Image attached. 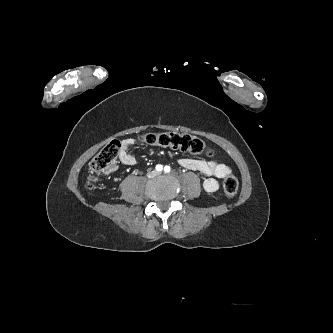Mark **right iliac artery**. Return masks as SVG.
Returning a JSON list of instances; mask_svg holds the SVG:
<instances>
[{
    "label": "right iliac artery",
    "mask_w": 333,
    "mask_h": 333,
    "mask_svg": "<svg viewBox=\"0 0 333 333\" xmlns=\"http://www.w3.org/2000/svg\"><path fill=\"white\" fill-rule=\"evenodd\" d=\"M156 170L161 172L163 170V166L161 164L156 165Z\"/></svg>",
    "instance_id": "obj_1"
}]
</instances>
